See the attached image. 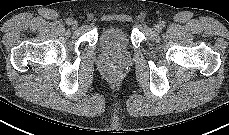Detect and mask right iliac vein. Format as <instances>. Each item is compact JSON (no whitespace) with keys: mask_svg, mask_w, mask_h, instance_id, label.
Wrapping results in <instances>:
<instances>
[{"mask_svg":"<svg viewBox=\"0 0 229 135\" xmlns=\"http://www.w3.org/2000/svg\"><path fill=\"white\" fill-rule=\"evenodd\" d=\"M70 25L72 26V28H77L78 23H77V21L72 20Z\"/></svg>","mask_w":229,"mask_h":135,"instance_id":"1","label":"right iliac vein"}]
</instances>
